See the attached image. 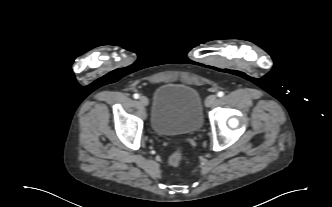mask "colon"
Listing matches in <instances>:
<instances>
[{
  "label": "colon",
  "instance_id": "5ec220e1",
  "mask_svg": "<svg viewBox=\"0 0 332 207\" xmlns=\"http://www.w3.org/2000/svg\"><path fill=\"white\" fill-rule=\"evenodd\" d=\"M184 160V155L181 149H177L173 154L169 157V164L171 166L177 167L182 164Z\"/></svg>",
  "mask_w": 332,
  "mask_h": 207
}]
</instances>
